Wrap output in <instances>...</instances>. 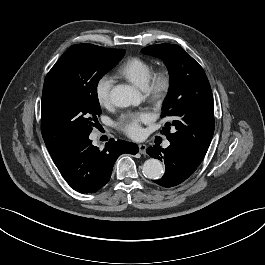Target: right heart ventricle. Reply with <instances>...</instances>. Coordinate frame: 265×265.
Instances as JSON below:
<instances>
[{
    "label": "right heart ventricle",
    "mask_w": 265,
    "mask_h": 265,
    "mask_svg": "<svg viewBox=\"0 0 265 265\" xmlns=\"http://www.w3.org/2000/svg\"><path fill=\"white\" fill-rule=\"evenodd\" d=\"M153 71L149 61L141 57H130L119 67L117 74L135 86L145 89Z\"/></svg>",
    "instance_id": "obj_1"
}]
</instances>
